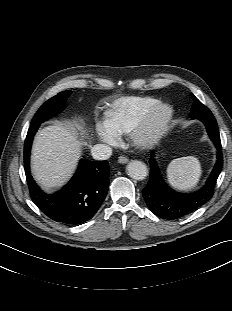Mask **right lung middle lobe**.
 I'll list each match as a JSON object with an SVG mask.
<instances>
[{
  "mask_svg": "<svg viewBox=\"0 0 232 311\" xmlns=\"http://www.w3.org/2000/svg\"><path fill=\"white\" fill-rule=\"evenodd\" d=\"M71 93V90L63 91L47 100L36 112L30 126L40 125V123L60 113L64 109L66 100Z\"/></svg>",
  "mask_w": 232,
  "mask_h": 311,
  "instance_id": "1",
  "label": "right lung middle lobe"
}]
</instances>
